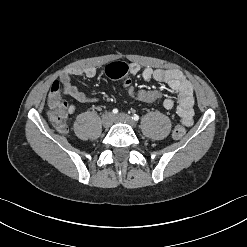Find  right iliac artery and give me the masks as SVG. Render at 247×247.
Here are the masks:
<instances>
[{"label":"right iliac artery","mask_w":247,"mask_h":247,"mask_svg":"<svg viewBox=\"0 0 247 247\" xmlns=\"http://www.w3.org/2000/svg\"><path fill=\"white\" fill-rule=\"evenodd\" d=\"M112 112H113V114H117L118 113V109L115 108V109L112 110Z\"/></svg>","instance_id":"82829eb1"}]
</instances>
